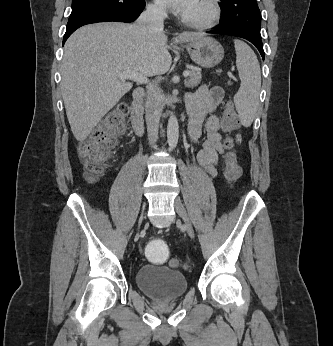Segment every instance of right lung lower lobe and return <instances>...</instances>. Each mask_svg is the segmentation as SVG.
<instances>
[{"label":"right lung lower lobe","mask_w":333,"mask_h":346,"mask_svg":"<svg viewBox=\"0 0 333 346\" xmlns=\"http://www.w3.org/2000/svg\"><path fill=\"white\" fill-rule=\"evenodd\" d=\"M144 7L145 1L139 0L138 4L135 7L124 12L112 10H93L81 13L76 17L68 20L66 32L63 37V44L76 29L83 25L109 21L133 22L138 18Z\"/></svg>","instance_id":"1"}]
</instances>
